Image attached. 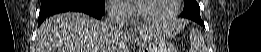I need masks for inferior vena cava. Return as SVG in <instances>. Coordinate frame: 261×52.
Wrapping results in <instances>:
<instances>
[{
	"instance_id": "inferior-vena-cava-1",
	"label": "inferior vena cava",
	"mask_w": 261,
	"mask_h": 52,
	"mask_svg": "<svg viewBox=\"0 0 261 52\" xmlns=\"http://www.w3.org/2000/svg\"><path fill=\"white\" fill-rule=\"evenodd\" d=\"M106 16L103 22L107 34L117 33L124 25V7L118 1L106 4Z\"/></svg>"
}]
</instances>
